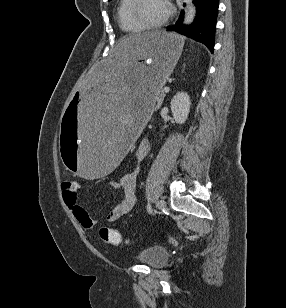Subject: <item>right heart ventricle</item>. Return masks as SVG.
<instances>
[{
	"instance_id": "right-heart-ventricle-1",
	"label": "right heart ventricle",
	"mask_w": 286,
	"mask_h": 308,
	"mask_svg": "<svg viewBox=\"0 0 286 308\" xmlns=\"http://www.w3.org/2000/svg\"><path fill=\"white\" fill-rule=\"evenodd\" d=\"M132 2L133 0H119L117 7L118 25L123 32L128 34H136L144 30L130 16Z\"/></svg>"
}]
</instances>
